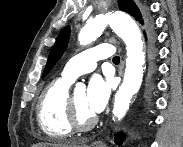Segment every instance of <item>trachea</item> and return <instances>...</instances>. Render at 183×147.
Segmentation results:
<instances>
[{
  "mask_svg": "<svg viewBox=\"0 0 183 147\" xmlns=\"http://www.w3.org/2000/svg\"><path fill=\"white\" fill-rule=\"evenodd\" d=\"M113 62H114V63H119V62H120V57H119V56H115V57L113 58Z\"/></svg>",
  "mask_w": 183,
  "mask_h": 147,
  "instance_id": "3493384b",
  "label": "trachea"
}]
</instances>
